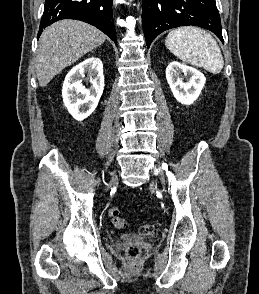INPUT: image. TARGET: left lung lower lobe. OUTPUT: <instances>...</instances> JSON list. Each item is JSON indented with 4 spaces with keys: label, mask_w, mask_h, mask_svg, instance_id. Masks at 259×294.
<instances>
[{
    "label": "left lung lower lobe",
    "mask_w": 259,
    "mask_h": 294,
    "mask_svg": "<svg viewBox=\"0 0 259 294\" xmlns=\"http://www.w3.org/2000/svg\"><path fill=\"white\" fill-rule=\"evenodd\" d=\"M142 25L148 48L165 30L193 25L212 31L223 42L215 0H143Z\"/></svg>",
    "instance_id": "1"
}]
</instances>
